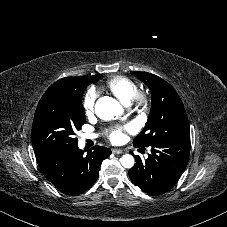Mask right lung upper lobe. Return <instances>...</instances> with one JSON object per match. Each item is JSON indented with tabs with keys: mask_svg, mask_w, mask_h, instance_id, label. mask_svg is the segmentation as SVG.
<instances>
[{
	"mask_svg": "<svg viewBox=\"0 0 227 227\" xmlns=\"http://www.w3.org/2000/svg\"><path fill=\"white\" fill-rule=\"evenodd\" d=\"M83 77L84 76L62 78L52 84L48 88V91H66L76 88L82 83Z\"/></svg>",
	"mask_w": 227,
	"mask_h": 227,
	"instance_id": "cb5924a9",
	"label": "right lung upper lobe"
}]
</instances>
